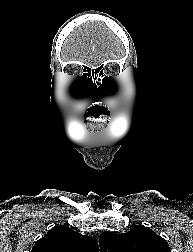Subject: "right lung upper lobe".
<instances>
[{"label":"right lung upper lobe","mask_w":193,"mask_h":252,"mask_svg":"<svg viewBox=\"0 0 193 252\" xmlns=\"http://www.w3.org/2000/svg\"><path fill=\"white\" fill-rule=\"evenodd\" d=\"M94 237L84 236L62 225L50 230L39 239L31 252H98Z\"/></svg>","instance_id":"1"}]
</instances>
